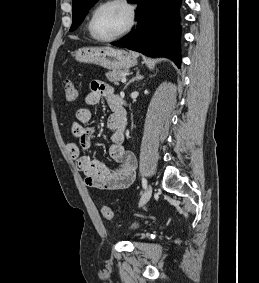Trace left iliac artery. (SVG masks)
Masks as SVG:
<instances>
[{"label":"left iliac artery","mask_w":259,"mask_h":283,"mask_svg":"<svg viewBox=\"0 0 259 283\" xmlns=\"http://www.w3.org/2000/svg\"><path fill=\"white\" fill-rule=\"evenodd\" d=\"M142 186H143L144 189H146V187H147V181H146L145 178H142Z\"/></svg>","instance_id":"44dca946"}]
</instances>
